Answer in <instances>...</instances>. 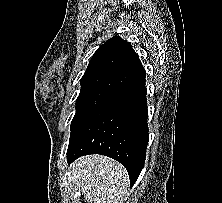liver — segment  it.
Segmentation results:
<instances>
[{
  "mask_svg": "<svg viewBox=\"0 0 222 203\" xmlns=\"http://www.w3.org/2000/svg\"><path fill=\"white\" fill-rule=\"evenodd\" d=\"M70 168L73 183L88 203H122L130 181L119 162L102 155H88Z\"/></svg>",
  "mask_w": 222,
  "mask_h": 203,
  "instance_id": "6515ba94",
  "label": "liver"
}]
</instances>
